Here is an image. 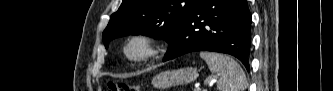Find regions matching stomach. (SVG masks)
<instances>
[{
	"instance_id": "1",
	"label": "stomach",
	"mask_w": 333,
	"mask_h": 91,
	"mask_svg": "<svg viewBox=\"0 0 333 91\" xmlns=\"http://www.w3.org/2000/svg\"><path fill=\"white\" fill-rule=\"evenodd\" d=\"M197 77L198 72L195 68L186 67L159 73L152 79V85L155 88L166 89L172 86L189 84L194 82Z\"/></svg>"
}]
</instances>
